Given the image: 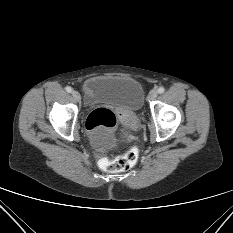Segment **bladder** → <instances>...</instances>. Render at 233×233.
Listing matches in <instances>:
<instances>
[{"label":"bladder","mask_w":233,"mask_h":233,"mask_svg":"<svg viewBox=\"0 0 233 233\" xmlns=\"http://www.w3.org/2000/svg\"><path fill=\"white\" fill-rule=\"evenodd\" d=\"M85 101L89 105L107 104L128 111L139 110L144 101L141 85L129 76H92L83 83ZM90 143L97 152H107L116 146L113 137L92 134Z\"/></svg>","instance_id":"obj_1"}]
</instances>
